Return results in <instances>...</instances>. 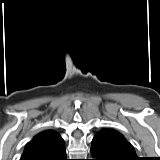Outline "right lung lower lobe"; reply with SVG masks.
Segmentation results:
<instances>
[{"mask_svg":"<svg viewBox=\"0 0 160 160\" xmlns=\"http://www.w3.org/2000/svg\"><path fill=\"white\" fill-rule=\"evenodd\" d=\"M48 160H67L65 148L59 152L57 155L50 157Z\"/></svg>","mask_w":160,"mask_h":160,"instance_id":"right-lung-lower-lobe-1","label":"right lung lower lobe"}]
</instances>
